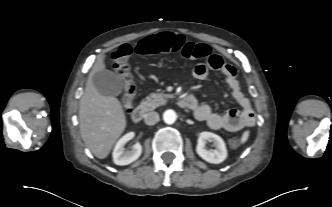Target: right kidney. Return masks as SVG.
Instances as JSON below:
<instances>
[{
  "instance_id": "obj_1",
  "label": "right kidney",
  "mask_w": 332,
  "mask_h": 207,
  "mask_svg": "<svg viewBox=\"0 0 332 207\" xmlns=\"http://www.w3.org/2000/svg\"><path fill=\"white\" fill-rule=\"evenodd\" d=\"M134 132L125 134L115 145L113 150V161L116 165H128L137 160L142 153V146L137 143L132 147V150H125V144L133 139Z\"/></svg>"
}]
</instances>
